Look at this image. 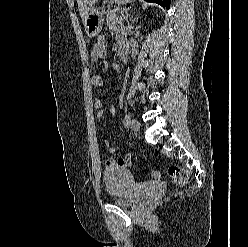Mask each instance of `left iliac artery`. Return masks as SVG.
I'll return each instance as SVG.
<instances>
[{
    "label": "left iliac artery",
    "instance_id": "obj_1",
    "mask_svg": "<svg viewBox=\"0 0 248 247\" xmlns=\"http://www.w3.org/2000/svg\"><path fill=\"white\" fill-rule=\"evenodd\" d=\"M124 123H125V126H128L130 124V115L129 114H126L125 115V121H124Z\"/></svg>",
    "mask_w": 248,
    "mask_h": 247
}]
</instances>
